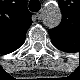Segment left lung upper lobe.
<instances>
[{
  "label": "left lung upper lobe",
  "instance_id": "left-lung-upper-lobe-1",
  "mask_svg": "<svg viewBox=\"0 0 80 80\" xmlns=\"http://www.w3.org/2000/svg\"><path fill=\"white\" fill-rule=\"evenodd\" d=\"M60 8L62 11L61 24L54 29H50L49 35L52 40H55L57 35L61 40L69 42L74 31L79 34L80 23L77 21V18L75 19L70 7L68 8L64 1L60 3Z\"/></svg>",
  "mask_w": 80,
  "mask_h": 80
}]
</instances>
